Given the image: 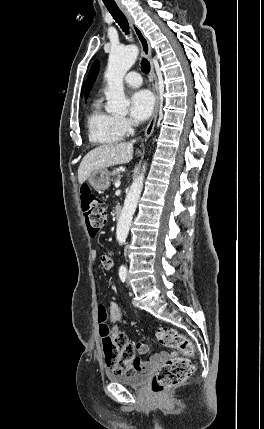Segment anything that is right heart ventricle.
<instances>
[{
	"instance_id": "1",
	"label": "right heart ventricle",
	"mask_w": 264,
	"mask_h": 429,
	"mask_svg": "<svg viewBox=\"0 0 264 429\" xmlns=\"http://www.w3.org/2000/svg\"><path fill=\"white\" fill-rule=\"evenodd\" d=\"M87 125L89 139L96 145H111L119 142L124 136L118 117L106 111L99 100L91 107Z\"/></svg>"
}]
</instances>
